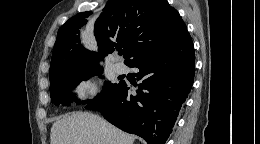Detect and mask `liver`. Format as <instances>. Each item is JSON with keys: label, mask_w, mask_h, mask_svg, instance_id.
I'll return each instance as SVG.
<instances>
[{"label": "liver", "mask_w": 260, "mask_h": 144, "mask_svg": "<svg viewBox=\"0 0 260 144\" xmlns=\"http://www.w3.org/2000/svg\"><path fill=\"white\" fill-rule=\"evenodd\" d=\"M50 140L51 144H133L135 137L94 114L76 112L53 123Z\"/></svg>", "instance_id": "liver-1"}]
</instances>
